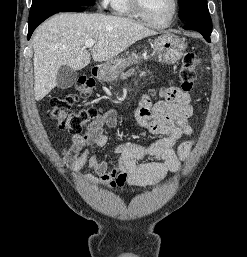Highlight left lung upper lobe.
Listing matches in <instances>:
<instances>
[{"label":"left lung upper lobe","instance_id":"5c2ea615","mask_svg":"<svg viewBox=\"0 0 247 257\" xmlns=\"http://www.w3.org/2000/svg\"><path fill=\"white\" fill-rule=\"evenodd\" d=\"M179 18L184 21L198 20L211 25V17L207 7V0H178Z\"/></svg>","mask_w":247,"mask_h":257}]
</instances>
